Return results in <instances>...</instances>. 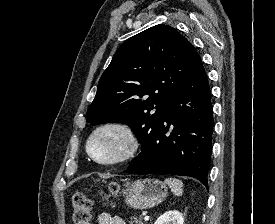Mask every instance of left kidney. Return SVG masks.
Returning a JSON list of instances; mask_svg holds the SVG:
<instances>
[{
  "mask_svg": "<svg viewBox=\"0 0 275 224\" xmlns=\"http://www.w3.org/2000/svg\"><path fill=\"white\" fill-rule=\"evenodd\" d=\"M154 224H184V217L179 211H168L161 215Z\"/></svg>",
  "mask_w": 275,
  "mask_h": 224,
  "instance_id": "5707ae66",
  "label": "left kidney"
}]
</instances>
